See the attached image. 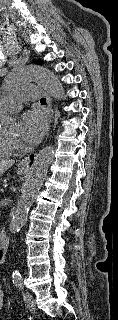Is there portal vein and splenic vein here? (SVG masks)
<instances>
[{
	"instance_id": "portal-vein-and-splenic-vein-1",
	"label": "portal vein and splenic vein",
	"mask_w": 118,
	"mask_h": 320,
	"mask_svg": "<svg viewBox=\"0 0 118 320\" xmlns=\"http://www.w3.org/2000/svg\"><path fill=\"white\" fill-rule=\"evenodd\" d=\"M1 192L3 193V192H4V190L2 189V190H1Z\"/></svg>"
}]
</instances>
